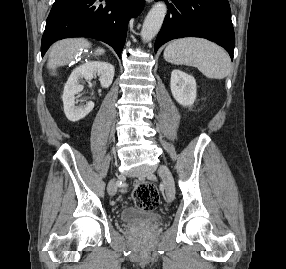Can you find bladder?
I'll list each match as a JSON object with an SVG mask.
<instances>
[{
  "label": "bladder",
  "mask_w": 286,
  "mask_h": 269,
  "mask_svg": "<svg viewBox=\"0 0 286 269\" xmlns=\"http://www.w3.org/2000/svg\"><path fill=\"white\" fill-rule=\"evenodd\" d=\"M119 218L124 224H157L162 221L161 214L133 206L123 208Z\"/></svg>",
  "instance_id": "bladder-1"
}]
</instances>
